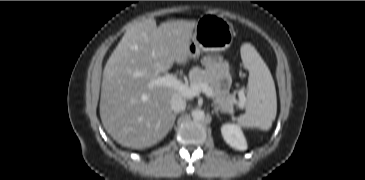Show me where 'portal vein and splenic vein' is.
Listing matches in <instances>:
<instances>
[{
  "mask_svg": "<svg viewBox=\"0 0 365 180\" xmlns=\"http://www.w3.org/2000/svg\"><path fill=\"white\" fill-rule=\"evenodd\" d=\"M154 85H161L173 88L187 98L195 97L200 92H203L209 98H212L214 96L211 88L206 83H195L187 86L169 73L153 79L150 83V86L153 87ZM242 99H244V96H242Z\"/></svg>",
  "mask_w": 365,
  "mask_h": 180,
  "instance_id": "18ae733b",
  "label": "portal vein and splenic vein"
}]
</instances>
